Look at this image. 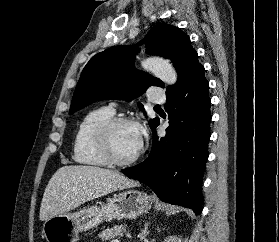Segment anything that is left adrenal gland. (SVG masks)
<instances>
[{"label":"left adrenal gland","mask_w":279,"mask_h":242,"mask_svg":"<svg viewBox=\"0 0 279 242\" xmlns=\"http://www.w3.org/2000/svg\"><path fill=\"white\" fill-rule=\"evenodd\" d=\"M148 225H149V222L145 223L144 225V229L141 231L140 233V240H143L145 239V237L148 235L149 231H148Z\"/></svg>","instance_id":"obj_1"}]
</instances>
